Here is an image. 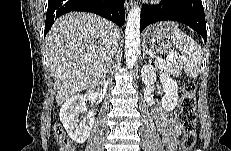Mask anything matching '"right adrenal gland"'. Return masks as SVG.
<instances>
[{"label":"right adrenal gland","instance_id":"1","mask_svg":"<svg viewBox=\"0 0 231 151\" xmlns=\"http://www.w3.org/2000/svg\"><path fill=\"white\" fill-rule=\"evenodd\" d=\"M109 72V66L107 65L105 75Z\"/></svg>","mask_w":231,"mask_h":151}]
</instances>
